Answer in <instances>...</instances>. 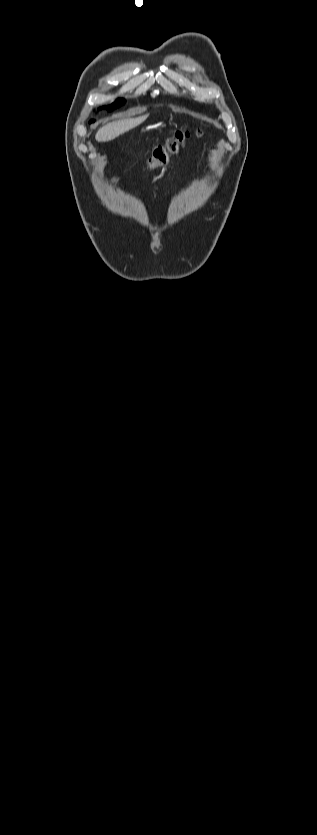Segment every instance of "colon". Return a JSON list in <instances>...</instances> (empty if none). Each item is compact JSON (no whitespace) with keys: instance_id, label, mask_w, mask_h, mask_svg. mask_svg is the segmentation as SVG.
I'll use <instances>...</instances> for the list:
<instances>
[{"instance_id":"obj_1","label":"colon","mask_w":317,"mask_h":835,"mask_svg":"<svg viewBox=\"0 0 317 835\" xmlns=\"http://www.w3.org/2000/svg\"><path fill=\"white\" fill-rule=\"evenodd\" d=\"M196 132L194 136H199ZM193 134L186 130H179L175 136L167 141L165 145L156 146L146 162L147 170H156L164 167L169 159L178 154L184 145L192 138Z\"/></svg>"}]
</instances>
